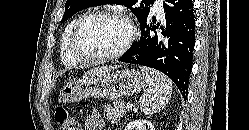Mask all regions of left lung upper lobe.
<instances>
[{"mask_svg": "<svg viewBox=\"0 0 249 130\" xmlns=\"http://www.w3.org/2000/svg\"><path fill=\"white\" fill-rule=\"evenodd\" d=\"M153 3L154 0H142L141 3H138V0H67L61 22H65L72 15L85 8L104 4H120L129 8L141 24L150 16V5Z\"/></svg>", "mask_w": 249, "mask_h": 130, "instance_id": "left-lung-upper-lobe-1", "label": "left lung upper lobe"}]
</instances>
